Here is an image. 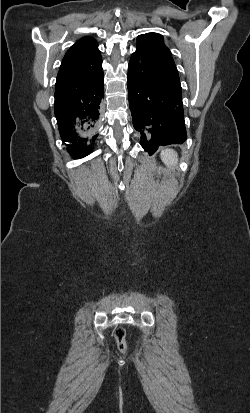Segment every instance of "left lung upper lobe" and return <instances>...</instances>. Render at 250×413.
<instances>
[{"label": "left lung upper lobe", "mask_w": 250, "mask_h": 413, "mask_svg": "<svg viewBox=\"0 0 250 413\" xmlns=\"http://www.w3.org/2000/svg\"><path fill=\"white\" fill-rule=\"evenodd\" d=\"M147 36H153V37H157V38L163 40V37L160 34L147 33V34H143V35H140V36L137 37V45L140 44L145 39V37H147Z\"/></svg>", "instance_id": "left-lung-upper-lobe-1"}]
</instances>
